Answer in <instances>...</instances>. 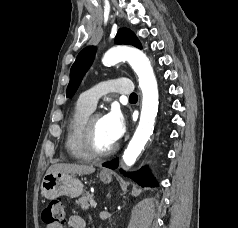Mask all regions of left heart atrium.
Wrapping results in <instances>:
<instances>
[{
  "label": "left heart atrium",
  "instance_id": "obj_1",
  "mask_svg": "<svg viewBox=\"0 0 238 228\" xmlns=\"http://www.w3.org/2000/svg\"><path fill=\"white\" fill-rule=\"evenodd\" d=\"M103 121L110 138L116 142L126 131V123L123 114L116 108L111 109L104 117Z\"/></svg>",
  "mask_w": 238,
  "mask_h": 228
}]
</instances>
